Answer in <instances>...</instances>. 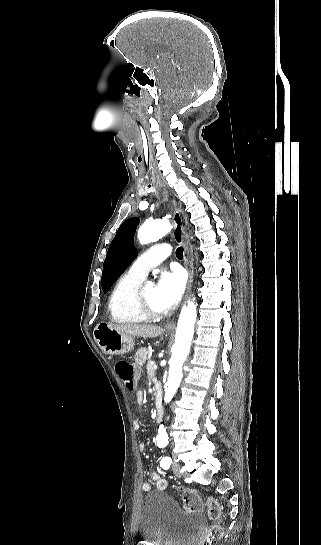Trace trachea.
<instances>
[{
    "label": "trachea",
    "instance_id": "3493384b",
    "mask_svg": "<svg viewBox=\"0 0 321 545\" xmlns=\"http://www.w3.org/2000/svg\"><path fill=\"white\" fill-rule=\"evenodd\" d=\"M136 124L139 126L141 123L138 121ZM138 128L140 129L139 131L144 135L143 138L146 140L148 137L146 136L147 133L143 129L144 127L140 125ZM144 146L146 147V149L144 150L145 152L143 153V158H144L145 167L147 168L145 171L148 173L150 171L148 168L152 167L153 158H152V153L147 148L149 145L146 143ZM149 181H153V178H149ZM149 186H152V183H149ZM176 257L179 258L180 260L183 258L182 247L177 248Z\"/></svg>",
    "mask_w": 321,
    "mask_h": 545
}]
</instances>
